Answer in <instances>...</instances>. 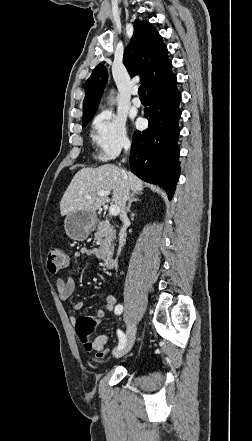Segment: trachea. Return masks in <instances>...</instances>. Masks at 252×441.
Segmentation results:
<instances>
[{
	"mask_svg": "<svg viewBox=\"0 0 252 441\" xmlns=\"http://www.w3.org/2000/svg\"><path fill=\"white\" fill-rule=\"evenodd\" d=\"M139 96H146L145 85L141 84L138 89Z\"/></svg>",
	"mask_w": 252,
	"mask_h": 441,
	"instance_id": "1",
	"label": "trachea"
}]
</instances>
